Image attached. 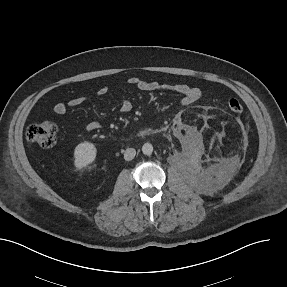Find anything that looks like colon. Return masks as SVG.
I'll return each mask as SVG.
<instances>
[{"label":"colon","mask_w":287,"mask_h":287,"mask_svg":"<svg viewBox=\"0 0 287 287\" xmlns=\"http://www.w3.org/2000/svg\"><path fill=\"white\" fill-rule=\"evenodd\" d=\"M227 105L229 110L234 113L243 111V105L238 99H229ZM56 136L57 126L54 122L48 120L34 123L26 131L27 140L41 148L52 147L56 142Z\"/></svg>","instance_id":"colon-1"}]
</instances>
